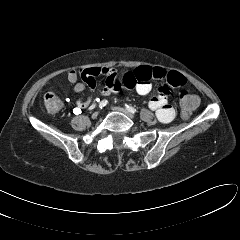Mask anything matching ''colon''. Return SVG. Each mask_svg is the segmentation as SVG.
<instances>
[{"mask_svg":"<svg viewBox=\"0 0 240 240\" xmlns=\"http://www.w3.org/2000/svg\"><path fill=\"white\" fill-rule=\"evenodd\" d=\"M199 98L188 90L180 92V107L183 116H190L197 108ZM44 106L50 113H57L62 107L61 99L54 93L48 92L44 97Z\"/></svg>","mask_w":240,"mask_h":240,"instance_id":"obj_1","label":"colon"}]
</instances>
